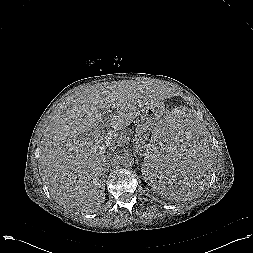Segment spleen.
I'll return each mask as SVG.
<instances>
[{
  "label": "spleen",
  "mask_w": 253,
  "mask_h": 253,
  "mask_svg": "<svg viewBox=\"0 0 253 253\" xmlns=\"http://www.w3.org/2000/svg\"><path fill=\"white\" fill-rule=\"evenodd\" d=\"M142 172L169 200L200 195L214 165V147L204 124L190 111L167 113L151 130Z\"/></svg>",
  "instance_id": "1"
}]
</instances>
